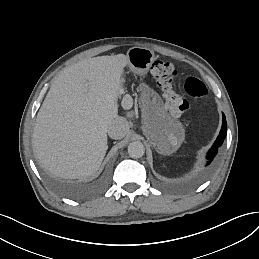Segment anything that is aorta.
Masks as SVG:
<instances>
[{
	"mask_svg": "<svg viewBox=\"0 0 259 259\" xmlns=\"http://www.w3.org/2000/svg\"><path fill=\"white\" fill-rule=\"evenodd\" d=\"M145 148L142 142L135 141L128 145V154L132 158H141L144 155Z\"/></svg>",
	"mask_w": 259,
	"mask_h": 259,
	"instance_id": "1",
	"label": "aorta"
}]
</instances>
